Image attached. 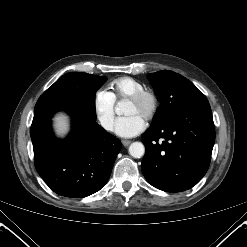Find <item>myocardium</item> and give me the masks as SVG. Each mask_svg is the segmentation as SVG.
Returning <instances> with one entry per match:
<instances>
[{
	"instance_id": "1",
	"label": "myocardium",
	"mask_w": 247,
	"mask_h": 247,
	"mask_svg": "<svg viewBox=\"0 0 247 247\" xmlns=\"http://www.w3.org/2000/svg\"><path fill=\"white\" fill-rule=\"evenodd\" d=\"M127 101L132 103H141L147 101L149 107L144 117L147 120L152 119L158 111V107H159L158 97L155 94V92L148 89H142L135 92L134 94H132L127 98Z\"/></svg>"
}]
</instances>
